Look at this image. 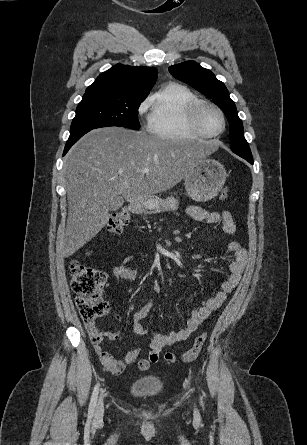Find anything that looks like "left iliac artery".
Listing matches in <instances>:
<instances>
[{
	"label": "left iliac artery",
	"mask_w": 307,
	"mask_h": 445,
	"mask_svg": "<svg viewBox=\"0 0 307 445\" xmlns=\"http://www.w3.org/2000/svg\"><path fill=\"white\" fill-rule=\"evenodd\" d=\"M201 404H202V406L204 407V402H203V400H202V397H201Z\"/></svg>",
	"instance_id": "1"
}]
</instances>
